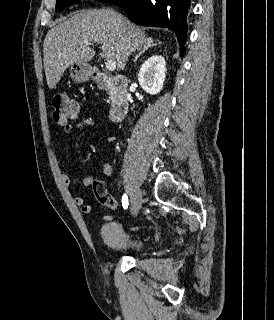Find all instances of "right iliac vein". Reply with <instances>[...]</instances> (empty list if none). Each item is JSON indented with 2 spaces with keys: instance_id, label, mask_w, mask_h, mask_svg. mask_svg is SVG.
Wrapping results in <instances>:
<instances>
[{
  "instance_id": "obj_1",
  "label": "right iliac vein",
  "mask_w": 274,
  "mask_h": 320,
  "mask_svg": "<svg viewBox=\"0 0 274 320\" xmlns=\"http://www.w3.org/2000/svg\"><path fill=\"white\" fill-rule=\"evenodd\" d=\"M143 200H142V194L140 190H137L136 193L132 197V203H131V213L132 215H136L141 206H142Z\"/></svg>"
}]
</instances>
